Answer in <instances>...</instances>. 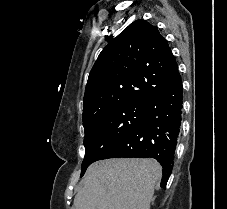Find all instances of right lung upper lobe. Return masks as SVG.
<instances>
[{"mask_svg": "<svg viewBox=\"0 0 227 209\" xmlns=\"http://www.w3.org/2000/svg\"><path fill=\"white\" fill-rule=\"evenodd\" d=\"M167 40L146 20H136L108 43L90 71L83 100V120L104 110L101 100L146 102L167 87L163 66L176 65Z\"/></svg>", "mask_w": 227, "mask_h": 209, "instance_id": "obj_1", "label": "right lung upper lobe"}]
</instances>
